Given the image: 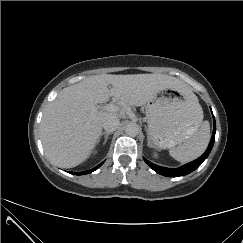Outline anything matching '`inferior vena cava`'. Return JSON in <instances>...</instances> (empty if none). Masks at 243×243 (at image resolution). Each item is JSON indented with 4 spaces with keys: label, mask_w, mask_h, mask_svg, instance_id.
Returning <instances> with one entry per match:
<instances>
[{
    "label": "inferior vena cava",
    "mask_w": 243,
    "mask_h": 243,
    "mask_svg": "<svg viewBox=\"0 0 243 243\" xmlns=\"http://www.w3.org/2000/svg\"><path fill=\"white\" fill-rule=\"evenodd\" d=\"M119 125V119L112 116L105 118L102 124L104 130H106L107 132L115 131L119 127Z\"/></svg>",
    "instance_id": "602c4592"
}]
</instances>
